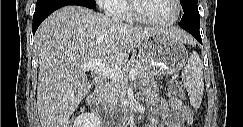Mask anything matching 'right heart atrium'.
<instances>
[{
	"label": "right heart atrium",
	"instance_id": "obj_1",
	"mask_svg": "<svg viewBox=\"0 0 243 127\" xmlns=\"http://www.w3.org/2000/svg\"><path fill=\"white\" fill-rule=\"evenodd\" d=\"M118 0H97L96 3L101 8V10L111 16H115L118 14V10L116 7V4L118 3Z\"/></svg>",
	"mask_w": 243,
	"mask_h": 127
}]
</instances>
